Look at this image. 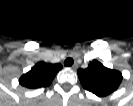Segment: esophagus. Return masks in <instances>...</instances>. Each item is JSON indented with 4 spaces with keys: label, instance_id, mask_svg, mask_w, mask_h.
Segmentation results:
<instances>
[{
    "label": "esophagus",
    "instance_id": "obj_1",
    "mask_svg": "<svg viewBox=\"0 0 133 106\" xmlns=\"http://www.w3.org/2000/svg\"><path fill=\"white\" fill-rule=\"evenodd\" d=\"M77 67H78V65L75 63V64H73L72 66H71V68L73 69V70H76L77 69Z\"/></svg>",
    "mask_w": 133,
    "mask_h": 106
}]
</instances>
